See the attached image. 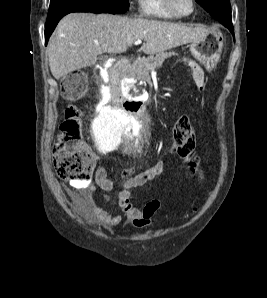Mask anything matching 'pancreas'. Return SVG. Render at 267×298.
I'll return each mask as SVG.
<instances>
[{
  "label": "pancreas",
  "instance_id": "1",
  "mask_svg": "<svg viewBox=\"0 0 267 298\" xmlns=\"http://www.w3.org/2000/svg\"><path fill=\"white\" fill-rule=\"evenodd\" d=\"M176 55L174 52H160L156 56L138 58L129 69V77L134 79H145L149 77L151 70L160 67L166 58Z\"/></svg>",
  "mask_w": 267,
  "mask_h": 298
}]
</instances>
